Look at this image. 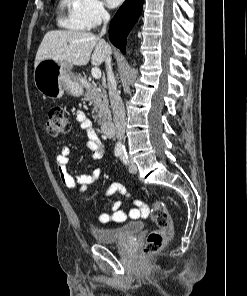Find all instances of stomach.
I'll return each instance as SVG.
<instances>
[{
	"label": "stomach",
	"instance_id": "0dacf381",
	"mask_svg": "<svg viewBox=\"0 0 247 296\" xmlns=\"http://www.w3.org/2000/svg\"><path fill=\"white\" fill-rule=\"evenodd\" d=\"M72 64L45 59L34 68V84L38 91L51 99H58L68 91L74 96L83 92L78 79L71 74Z\"/></svg>",
	"mask_w": 247,
	"mask_h": 296
}]
</instances>
